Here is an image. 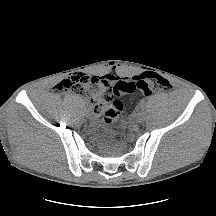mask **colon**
<instances>
[{
    "instance_id": "colon-1",
    "label": "colon",
    "mask_w": 216,
    "mask_h": 216,
    "mask_svg": "<svg viewBox=\"0 0 216 216\" xmlns=\"http://www.w3.org/2000/svg\"><path fill=\"white\" fill-rule=\"evenodd\" d=\"M57 88L90 99L94 109L103 113V121L112 124L122 114L123 103L120 97L123 94L137 90L144 96H149L156 89L169 91L171 85L156 74H143L132 80H118L113 84L105 76L75 74L62 80Z\"/></svg>"
}]
</instances>
